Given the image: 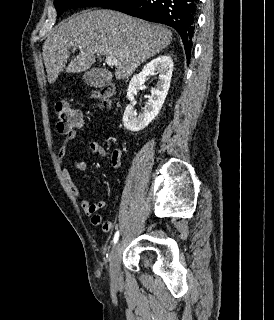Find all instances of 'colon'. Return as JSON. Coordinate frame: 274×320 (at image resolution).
Here are the masks:
<instances>
[{"label":"colon","mask_w":274,"mask_h":320,"mask_svg":"<svg viewBox=\"0 0 274 320\" xmlns=\"http://www.w3.org/2000/svg\"><path fill=\"white\" fill-rule=\"evenodd\" d=\"M104 102L109 96V92L104 90L97 95ZM54 111L56 115V126L60 133L72 134L75 130V120H84L81 111L71 106L64 100H59L55 103Z\"/></svg>","instance_id":"obj_1"}]
</instances>
